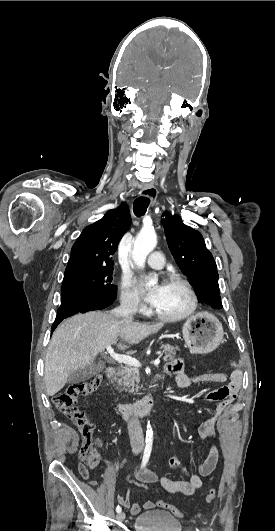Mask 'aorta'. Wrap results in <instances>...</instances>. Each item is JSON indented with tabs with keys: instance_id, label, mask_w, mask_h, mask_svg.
<instances>
[{
	"instance_id": "aorta-1",
	"label": "aorta",
	"mask_w": 275,
	"mask_h": 531,
	"mask_svg": "<svg viewBox=\"0 0 275 531\" xmlns=\"http://www.w3.org/2000/svg\"><path fill=\"white\" fill-rule=\"evenodd\" d=\"M156 245L157 237L153 229H146V231H140V233H138L132 251V259L135 265H137L138 269H143V267H145L146 259L149 253H152V251H154ZM157 283L158 279L157 275H155L153 279L147 281L146 287H155ZM147 435H150V437H152L153 435L150 421H148L147 423Z\"/></svg>"
}]
</instances>
